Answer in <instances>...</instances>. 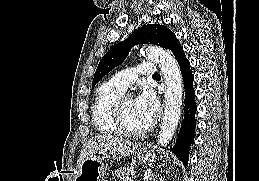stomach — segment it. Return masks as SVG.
Segmentation results:
<instances>
[{
  "label": "stomach",
  "mask_w": 259,
  "mask_h": 181,
  "mask_svg": "<svg viewBox=\"0 0 259 181\" xmlns=\"http://www.w3.org/2000/svg\"><path fill=\"white\" fill-rule=\"evenodd\" d=\"M137 155L144 163H151L155 159V153L150 147L140 149ZM104 177V162L102 158L94 155L83 160L78 166L73 181H104Z\"/></svg>",
  "instance_id": "1"
}]
</instances>
